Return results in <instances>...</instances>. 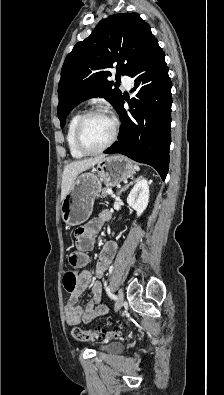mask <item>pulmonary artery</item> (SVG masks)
<instances>
[{
  "label": "pulmonary artery",
  "instance_id": "1",
  "mask_svg": "<svg viewBox=\"0 0 224 395\" xmlns=\"http://www.w3.org/2000/svg\"><path fill=\"white\" fill-rule=\"evenodd\" d=\"M122 83L124 87L129 90L131 88L132 79L129 76L124 75L122 76Z\"/></svg>",
  "mask_w": 224,
  "mask_h": 395
}]
</instances>
